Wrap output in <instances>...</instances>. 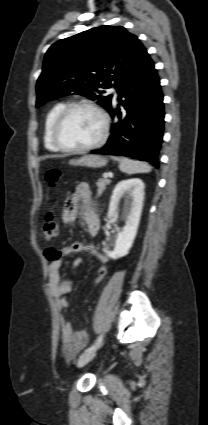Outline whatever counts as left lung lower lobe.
<instances>
[{
	"label": "left lung lower lobe",
	"mask_w": 208,
	"mask_h": 425,
	"mask_svg": "<svg viewBox=\"0 0 208 425\" xmlns=\"http://www.w3.org/2000/svg\"><path fill=\"white\" fill-rule=\"evenodd\" d=\"M117 93L124 110L112 104L107 108L110 116L117 115L119 120L112 124L107 144L91 153L134 157L158 168L165 113L160 79L148 53L137 70L117 87Z\"/></svg>",
	"instance_id": "1"
}]
</instances>
